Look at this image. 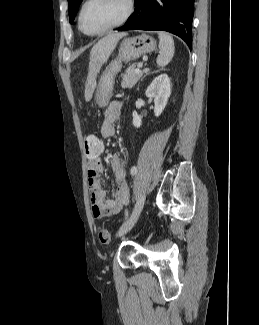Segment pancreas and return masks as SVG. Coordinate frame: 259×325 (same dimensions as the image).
<instances>
[{"mask_svg":"<svg viewBox=\"0 0 259 325\" xmlns=\"http://www.w3.org/2000/svg\"><path fill=\"white\" fill-rule=\"evenodd\" d=\"M143 76V73H136L135 67L132 65L127 68L125 74L123 75L121 86L123 88L131 89L134 85L139 81V79Z\"/></svg>","mask_w":259,"mask_h":325,"instance_id":"obj_1","label":"pancreas"}]
</instances>
